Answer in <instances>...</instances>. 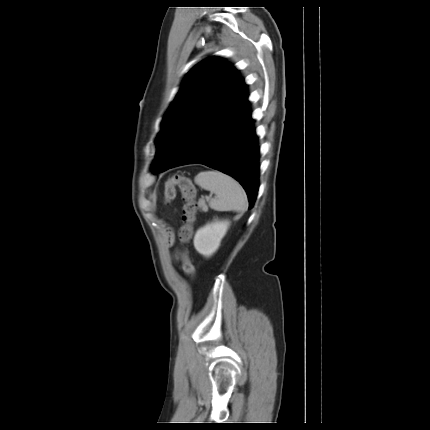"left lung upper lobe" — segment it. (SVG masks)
Wrapping results in <instances>:
<instances>
[{"label":"left lung upper lobe","instance_id":"1","mask_svg":"<svg viewBox=\"0 0 430 430\" xmlns=\"http://www.w3.org/2000/svg\"><path fill=\"white\" fill-rule=\"evenodd\" d=\"M248 97L247 85L233 64L209 57L195 65L163 118L152 172L157 173L188 141L198 121L209 114L227 119L239 115L247 108Z\"/></svg>","mask_w":430,"mask_h":430}]
</instances>
